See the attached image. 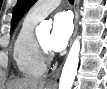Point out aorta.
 <instances>
[{"label":"aorta","instance_id":"aorta-1","mask_svg":"<svg viewBox=\"0 0 107 89\" xmlns=\"http://www.w3.org/2000/svg\"><path fill=\"white\" fill-rule=\"evenodd\" d=\"M51 24L47 21H42L36 28L37 33H49ZM80 42L76 39L66 58L60 81L59 89H71L79 63Z\"/></svg>","mask_w":107,"mask_h":89}]
</instances>
